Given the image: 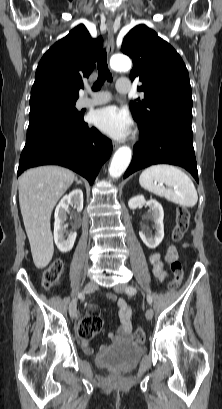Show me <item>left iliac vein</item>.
<instances>
[{
	"instance_id": "4c4485c4",
	"label": "left iliac vein",
	"mask_w": 222,
	"mask_h": 409,
	"mask_svg": "<svg viewBox=\"0 0 222 409\" xmlns=\"http://www.w3.org/2000/svg\"><path fill=\"white\" fill-rule=\"evenodd\" d=\"M114 291L116 293H123L125 291V285L123 283L115 285ZM145 316L148 320H151L153 318V310L151 308H148L146 310Z\"/></svg>"
}]
</instances>
